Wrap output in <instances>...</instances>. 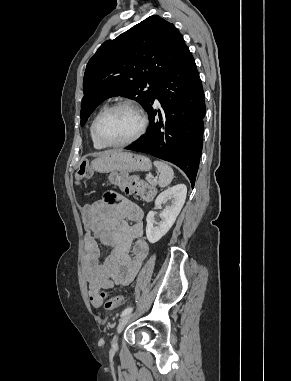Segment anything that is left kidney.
Instances as JSON below:
<instances>
[{
    "label": "left kidney",
    "instance_id": "1",
    "mask_svg": "<svg viewBox=\"0 0 291 381\" xmlns=\"http://www.w3.org/2000/svg\"><path fill=\"white\" fill-rule=\"evenodd\" d=\"M187 187L184 184H178L161 192L155 200V206L170 200L167 206L160 214L161 221L155 223L153 211L147 214L146 236L150 243L159 241L173 226L179 215L186 199Z\"/></svg>",
    "mask_w": 291,
    "mask_h": 381
}]
</instances>
